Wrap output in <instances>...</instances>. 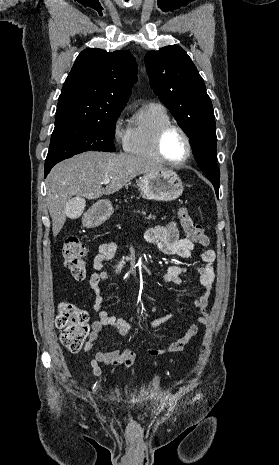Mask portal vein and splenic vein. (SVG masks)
<instances>
[{
    "mask_svg": "<svg viewBox=\"0 0 279 465\" xmlns=\"http://www.w3.org/2000/svg\"><path fill=\"white\" fill-rule=\"evenodd\" d=\"M109 182H110V179H106V180L104 181V184H108Z\"/></svg>",
    "mask_w": 279,
    "mask_h": 465,
    "instance_id": "obj_1",
    "label": "portal vein and splenic vein"
}]
</instances>
